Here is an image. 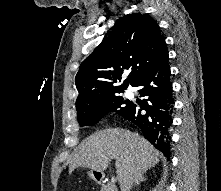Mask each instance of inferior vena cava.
<instances>
[{
    "label": "inferior vena cava",
    "mask_w": 221,
    "mask_h": 191,
    "mask_svg": "<svg viewBox=\"0 0 221 191\" xmlns=\"http://www.w3.org/2000/svg\"><path fill=\"white\" fill-rule=\"evenodd\" d=\"M139 173L134 171L132 173H130V175L124 180V182L120 185L121 191H130L133 182L135 180V177L138 175Z\"/></svg>",
    "instance_id": "obj_1"
}]
</instances>
